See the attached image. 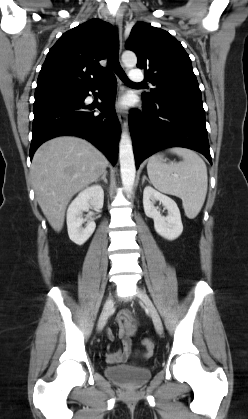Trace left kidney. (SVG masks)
Returning a JSON list of instances; mask_svg holds the SVG:
<instances>
[{
    "instance_id": "5707ae66",
    "label": "left kidney",
    "mask_w": 248,
    "mask_h": 419,
    "mask_svg": "<svg viewBox=\"0 0 248 419\" xmlns=\"http://www.w3.org/2000/svg\"><path fill=\"white\" fill-rule=\"evenodd\" d=\"M159 201L167 209L168 215L162 216L155 202ZM143 207L147 217L154 220L155 231L167 240H175L182 231L183 225L179 208L170 197L158 192L151 186H146L143 192Z\"/></svg>"
}]
</instances>
